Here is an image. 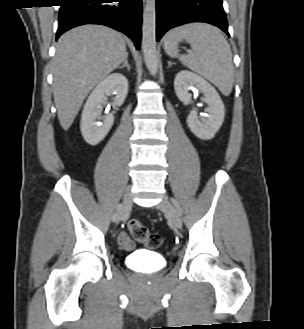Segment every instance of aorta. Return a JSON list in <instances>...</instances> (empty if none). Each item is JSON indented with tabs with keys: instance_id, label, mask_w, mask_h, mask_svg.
<instances>
[{
	"instance_id": "aorta-1",
	"label": "aorta",
	"mask_w": 304,
	"mask_h": 329,
	"mask_svg": "<svg viewBox=\"0 0 304 329\" xmlns=\"http://www.w3.org/2000/svg\"><path fill=\"white\" fill-rule=\"evenodd\" d=\"M156 0H146L143 11L142 50L146 66L152 75L158 70L156 51Z\"/></svg>"
}]
</instances>
